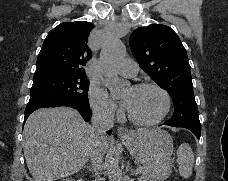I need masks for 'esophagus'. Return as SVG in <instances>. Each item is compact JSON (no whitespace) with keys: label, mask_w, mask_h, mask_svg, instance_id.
I'll return each mask as SVG.
<instances>
[{"label":"esophagus","mask_w":228,"mask_h":181,"mask_svg":"<svg viewBox=\"0 0 228 181\" xmlns=\"http://www.w3.org/2000/svg\"><path fill=\"white\" fill-rule=\"evenodd\" d=\"M117 131H118L119 137H127V136H130V132L124 126H120Z\"/></svg>","instance_id":"34e87169"}]
</instances>
